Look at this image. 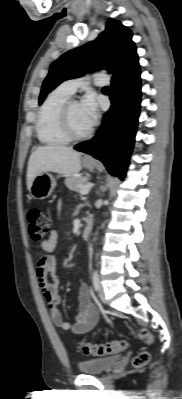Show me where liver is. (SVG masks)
<instances>
[{
	"label": "liver",
	"mask_w": 182,
	"mask_h": 399,
	"mask_svg": "<svg viewBox=\"0 0 182 399\" xmlns=\"http://www.w3.org/2000/svg\"><path fill=\"white\" fill-rule=\"evenodd\" d=\"M81 153L71 147L48 145L38 147L29 158L27 168V189L34 178L44 172L77 174L81 169Z\"/></svg>",
	"instance_id": "obj_1"
}]
</instances>
